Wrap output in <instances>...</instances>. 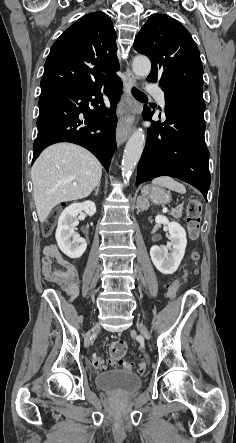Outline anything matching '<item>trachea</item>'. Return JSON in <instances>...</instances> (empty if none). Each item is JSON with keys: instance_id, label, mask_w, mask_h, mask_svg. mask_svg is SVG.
<instances>
[{"instance_id": "trachea-1", "label": "trachea", "mask_w": 236, "mask_h": 443, "mask_svg": "<svg viewBox=\"0 0 236 443\" xmlns=\"http://www.w3.org/2000/svg\"><path fill=\"white\" fill-rule=\"evenodd\" d=\"M132 93L135 96L136 99L140 100V101H145L147 100V97L145 94H143L142 92H140L139 90L133 88L132 89Z\"/></svg>"}]
</instances>
